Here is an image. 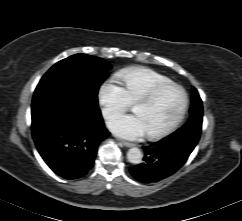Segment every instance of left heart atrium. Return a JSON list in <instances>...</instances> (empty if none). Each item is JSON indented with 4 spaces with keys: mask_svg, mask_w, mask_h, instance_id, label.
Here are the masks:
<instances>
[{
    "mask_svg": "<svg viewBox=\"0 0 242 221\" xmlns=\"http://www.w3.org/2000/svg\"><path fill=\"white\" fill-rule=\"evenodd\" d=\"M109 129L117 136L137 140L147 134L146 127L137 114L119 115L108 122Z\"/></svg>",
    "mask_w": 242,
    "mask_h": 221,
    "instance_id": "obj_1",
    "label": "left heart atrium"
}]
</instances>
